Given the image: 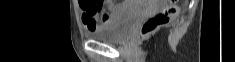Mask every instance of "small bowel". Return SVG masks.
<instances>
[{
  "mask_svg": "<svg viewBox=\"0 0 235 62\" xmlns=\"http://www.w3.org/2000/svg\"><path fill=\"white\" fill-rule=\"evenodd\" d=\"M91 3H92V1H81L80 2V7L83 10V16H82L83 23L88 30L96 29V28L100 27L101 24H104L110 20V17L105 14L102 17V23H101L99 21L98 15H97V13L99 11H97V12L92 11ZM123 5H125V4H123Z\"/></svg>",
  "mask_w": 235,
  "mask_h": 62,
  "instance_id": "obj_1",
  "label": "small bowel"
}]
</instances>
